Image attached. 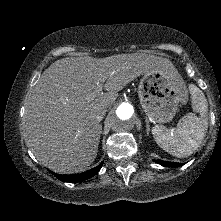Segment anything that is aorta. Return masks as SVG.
<instances>
[{"label":"aorta","mask_w":221,"mask_h":221,"mask_svg":"<svg viewBox=\"0 0 221 221\" xmlns=\"http://www.w3.org/2000/svg\"><path fill=\"white\" fill-rule=\"evenodd\" d=\"M111 127L117 133H126L135 126V111L128 102L118 104L111 115Z\"/></svg>","instance_id":"1"}]
</instances>
